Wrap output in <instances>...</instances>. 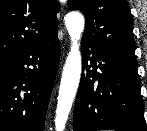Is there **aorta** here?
<instances>
[{
	"instance_id": "obj_1",
	"label": "aorta",
	"mask_w": 147,
	"mask_h": 131,
	"mask_svg": "<svg viewBox=\"0 0 147 131\" xmlns=\"http://www.w3.org/2000/svg\"><path fill=\"white\" fill-rule=\"evenodd\" d=\"M65 25L71 38V49L66 58L59 87L55 116V130L64 131L81 77L80 40L84 30V18L78 12L65 16Z\"/></svg>"
}]
</instances>
